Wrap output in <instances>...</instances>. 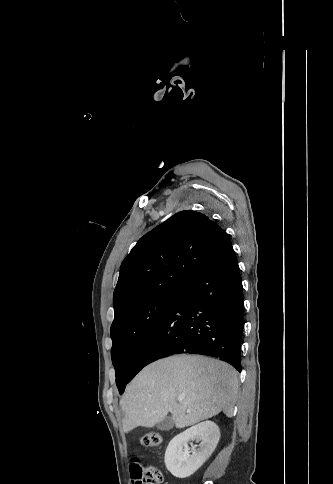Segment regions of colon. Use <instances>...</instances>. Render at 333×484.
Returning a JSON list of instances; mask_svg holds the SVG:
<instances>
[{"instance_id":"obj_1","label":"colon","mask_w":333,"mask_h":484,"mask_svg":"<svg viewBox=\"0 0 333 484\" xmlns=\"http://www.w3.org/2000/svg\"><path fill=\"white\" fill-rule=\"evenodd\" d=\"M162 443V437L156 432H148L141 437V444L145 447H156ZM163 475L155 467L141 468L139 473L138 484H161Z\"/></svg>"}]
</instances>
